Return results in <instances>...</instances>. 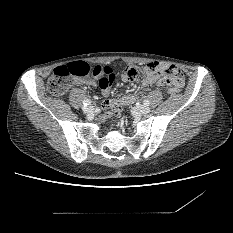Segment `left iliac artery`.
<instances>
[{"mask_svg": "<svg viewBox=\"0 0 233 233\" xmlns=\"http://www.w3.org/2000/svg\"><path fill=\"white\" fill-rule=\"evenodd\" d=\"M143 103H144L145 105H147V106L150 104L149 100H147V99L144 100Z\"/></svg>", "mask_w": 233, "mask_h": 233, "instance_id": "left-iliac-artery-1", "label": "left iliac artery"}]
</instances>
